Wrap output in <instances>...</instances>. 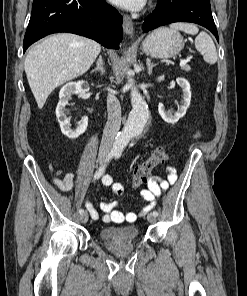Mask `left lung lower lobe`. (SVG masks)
Masks as SVG:
<instances>
[{
	"instance_id": "1",
	"label": "left lung lower lobe",
	"mask_w": 247,
	"mask_h": 296,
	"mask_svg": "<svg viewBox=\"0 0 247 296\" xmlns=\"http://www.w3.org/2000/svg\"><path fill=\"white\" fill-rule=\"evenodd\" d=\"M174 22H192L209 29L218 39L210 0H158L156 9L143 23L144 32Z\"/></svg>"
}]
</instances>
